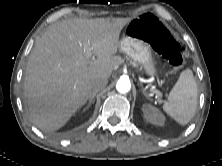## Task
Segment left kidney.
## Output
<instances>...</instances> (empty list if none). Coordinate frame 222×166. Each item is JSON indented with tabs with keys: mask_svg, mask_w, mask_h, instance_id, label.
<instances>
[{
	"mask_svg": "<svg viewBox=\"0 0 222 166\" xmlns=\"http://www.w3.org/2000/svg\"><path fill=\"white\" fill-rule=\"evenodd\" d=\"M142 110L144 117L148 122L158 126L164 125L165 117L160 110L151 106L150 104H144Z\"/></svg>",
	"mask_w": 222,
	"mask_h": 166,
	"instance_id": "1",
	"label": "left kidney"
}]
</instances>
